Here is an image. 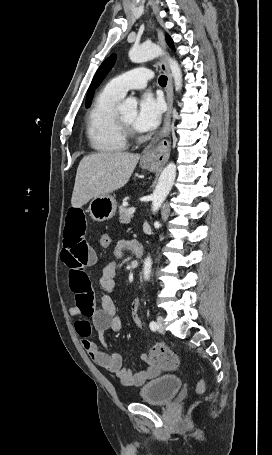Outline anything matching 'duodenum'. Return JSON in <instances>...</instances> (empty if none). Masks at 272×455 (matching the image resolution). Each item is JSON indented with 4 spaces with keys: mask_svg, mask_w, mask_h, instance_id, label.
<instances>
[{
    "mask_svg": "<svg viewBox=\"0 0 272 455\" xmlns=\"http://www.w3.org/2000/svg\"><path fill=\"white\" fill-rule=\"evenodd\" d=\"M130 249L138 258L143 255V247L138 241H131Z\"/></svg>",
    "mask_w": 272,
    "mask_h": 455,
    "instance_id": "duodenum-1",
    "label": "duodenum"
}]
</instances>
